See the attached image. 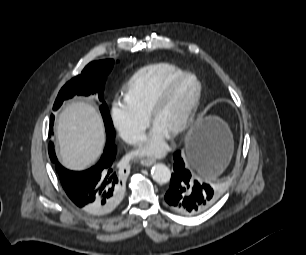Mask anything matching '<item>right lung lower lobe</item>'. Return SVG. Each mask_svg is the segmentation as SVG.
<instances>
[{
    "instance_id": "obj_1",
    "label": "right lung lower lobe",
    "mask_w": 306,
    "mask_h": 255,
    "mask_svg": "<svg viewBox=\"0 0 306 255\" xmlns=\"http://www.w3.org/2000/svg\"><path fill=\"white\" fill-rule=\"evenodd\" d=\"M52 148L49 155L55 159L60 182L74 204L93 215L107 214L117 206L122 196V181L114 162L117 149L112 141H107L99 162L81 172L62 167L57 162L53 144L49 143L48 150Z\"/></svg>"
}]
</instances>
